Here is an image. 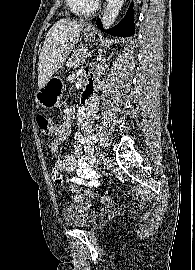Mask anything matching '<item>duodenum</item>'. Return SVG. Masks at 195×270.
<instances>
[{
    "label": "duodenum",
    "instance_id": "410a0bca",
    "mask_svg": "<svg viewBox=\"0 0 195 270\" xmlns=\"http://www.w3.org/2000/svg\"><path fill=\"white\" fill-rule=\"evenodd\" d=\"M94 87H95L94 80H91L87 83L81 99L84 105H90L94 100V93H93Z\"/></svg>",
    "mask_w": 195,
    "mask_h": 270
}]
</instances>
